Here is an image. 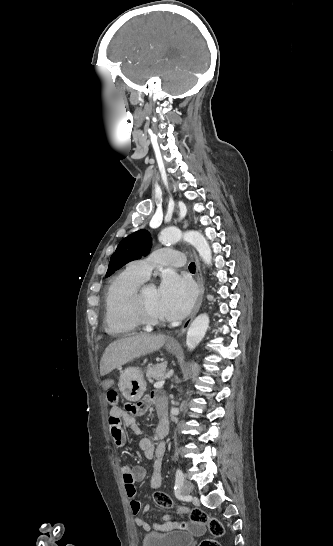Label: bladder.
Segmentation results:
<instances>
[{
  "instance_id": "1",
  "label": "bladder",
  "mask_w": 333,
  "mask_h": 546,
  "mask_svg": "<svg viewBox=\"0 0 333 546\" xmlns=\"http://www.w3.org/2000/svg\"><path fill=\"white\" fill-rule=\"evenodd\" d=\"M192 539V536L185 531L151 532L143 538L142 546H190Z\"/></svg>"
}]
</instances>
